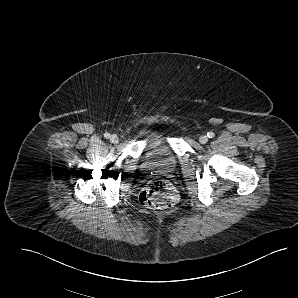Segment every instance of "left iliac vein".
I'll return each mask as SVG.
<instances>
[{"label":"left iliac vein","instance_id":"obj_1","mask_svg":"<svg viewBox=\"0 0 298 298\" xmlns=\"http://www.w3.org/2000/svg\"><path fill=\"white\" fill-rule=\"evenodd\" d=\"M207 141H208V137L206 135H202L199 137V142L201 144H205V143H207Z\"/></svg>","mask_w":298,"mask_h":298}]
</instances>
